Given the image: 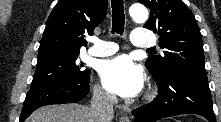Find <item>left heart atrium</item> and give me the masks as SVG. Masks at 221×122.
Segmentation results:
<instances>
[{
    "instance_id": "obj_1",
    "label": "left heart atrium",
    "mask_w": 221,
    "mask_h": 122,
    "mask_svg": "<svg viewBox=\"0 0 221 122\" xmlns=\"http://www.w3.org/2000/svg\"><path fill=\"white\" fill-rule=\"evenodd\" d=\"M103 86L124 98L137 96L144 85L142 69L127 55L105 60L99 67Z\"/></svg>"
}]
</instances>
